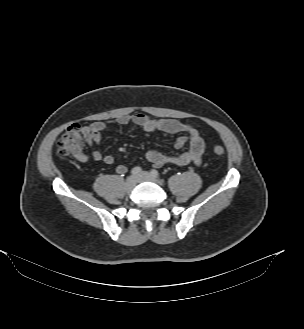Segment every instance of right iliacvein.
<instances>
[{
  "mask_svg": "<svg viewBox=\"0 0 304 329\" xmlns=\"http://www.w3.org/2000/svg\"><path fill=\"white\" fill-rule=\"evenodd\" d=\"M137 184V179L135 176H130L125 182V188L128 191H131Z\"/></svg>",
  "mask_w": 304,
  "mask_h": 329,
  "instance_id": "right-iliac-vein-1",
  "label": "right iliac vein"
}]
</instances>
